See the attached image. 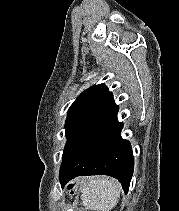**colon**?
<instances>
[{
  "mask_svg": "<svg viewBox=\"0 0 179 211\" xmlns=\"http://www.w3.org/2000/svg\"><path fill=\"white\" fill-rule=\"evenodd\" d=\"M70 189H72V190L74 189L73 185L70 187Z\"/></svg>",
  "mask_w": 179,
  "mask_h": 211,
  "instance_id": "obj_1",
  "label": "colon"
}]
</instances>
